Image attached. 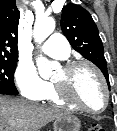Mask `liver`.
I'll return each mask as SVG.
<instances>
[{
	"label": "liver",
	"instance_id": "6515ba94",
	"mask_svg": "<svg viewBox=\"0 0 117 131\" xmlns=\"http://www.w3.org/2000/svg\"><path fill=\"white\" fill-rule=\"evenodd\" d=\"M66 114L69 113L59 108L0 96V131H37Z\"/></svg>",
	"mask_w": 117,
	"mask_h": 131
}]
</instances>
